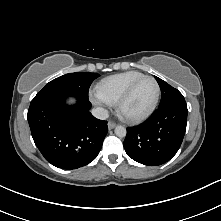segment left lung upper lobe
<instances>
[{"instance_id":"obj_1","label":"left lung upper lobe","mask_w":221,"mask_h":221,"mask_svg":"<svg viewBox=\"0 0 221 221\" xmlns=\"http://www.w3.org/2000/svg\"><path fill=\"white\" fill-rule=\"evenodd\" d=\"M155 79L157 80L161 89V102L159 107H163L175 102H185L183 95L177 89L173 88L168 83L156 76Z\"/></svg>"}]
</instances>
